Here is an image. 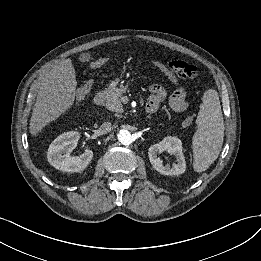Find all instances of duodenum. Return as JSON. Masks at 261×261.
I'll list each match as a JSON object with an SVG mask.
<instances>
[{"label": "duodenum", "instance_id": "duodenum-1", "mask_svg": "<svg viewBox=\"0 0 261 261\" xmlns=\"http://www.w3.org/2000/svg\"><path fill=\"white\" fill-rule=\"evenodd\" d=\"M104 98L103 91H99L94 96V103L96 106H101Z\"/></svg>", "mask_w": 261, "mask_h": 261}]
</instances>
